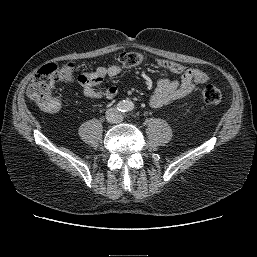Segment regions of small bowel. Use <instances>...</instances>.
Wrapping results in <instances>:
<instances>
[{
	"instance_id": "1",
	"label": "small bowel",
	"mask_w": 257,
	"mask_h": 257,
	"mask_svg": "<svg viewBox=\"0 0 257 257\" xmlns=\"http://www.w3.org/2000/svg\"><path fill=\"white\" fill-rule=\"evenodd\" d=\"M120 71L121 69L117 65H111L107 68L98 67L93 72L80 75L79 82L84 94L90 99L112 100L117 95L115 87H108L104 91H99L96 87L102 83L106 75L115 77ZM199 83L190 73L183 74L179 80L162 78L158 81L153 94L150 96L149 104L153 108L168 105L193 92Z\"/></svg>"
}]
</instances>
